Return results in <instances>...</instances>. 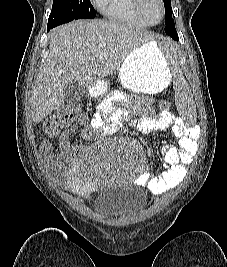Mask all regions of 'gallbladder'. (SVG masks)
<instances>
[{"label": "gallbladder", "mask_w": 227, "mask_h": 267, "mask_svg": "<svg viewBox=\"0 0 227 267\" xmlns=\"http://www.w3.org/2000/svg\"><path fill=\"white\" fill-rule=\"evenodd\" d=\"M85 86L72 82L66 86L64 90L65 103L67 106H73L77 104L85 95Z\"/></svg>", "instance_id": "1"}]
</instances>
